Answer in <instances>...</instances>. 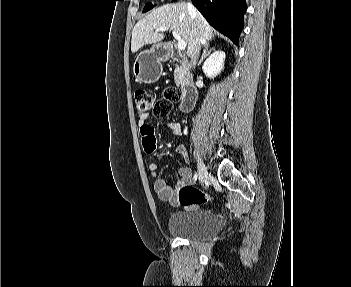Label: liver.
I'll return each mask as SVG.
<instances>
[{
  "label": "liver",
  "mask_w": 351,
  "mask_h": 287,
  "mask_svg": "<svg viewBox=\"0 0 351 287\" xmlns=\"http://www.w3.org/2000/svg\"><path fill=\"white\" fill-rule=\"evenodd\" d=\"M159 27H168L179 32L187 43V55L192 57L198 45L214 38L213 28L205 18L197 12H189L185 2L165 4L154 9L144 18L140 19L132 30L131 51L137 52L144 45L156 44L162 41L165 35L156 31Z\"/></svg>",
  "instance_id": "1"
}]
</instances>
